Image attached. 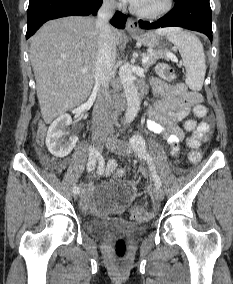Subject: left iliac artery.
<instances>
[{
	"instance_id": "obj_1",
	"label": "left iliac artery",
	"mask_w": 233,
	"mask_h": 284,
	"mask_svg": "<svg viewBox=\"0 0 233 284\" xmlns=\"http://www.w3.org/2000/svg\"><path fill=\"white\" fill-rule=\"evenodd\" d=\"M130 143H131V146L134 149V151H136L139 154V156H141L145 160H147L148 164L150 165V169L152 171V177H153V181H154L155 186L161 187L162 182L160 180V177L158 176V174L155 171V166L152 162L151 157L146 152V144H145L144 138L142 136H139V135H134L130 139Z\"/></svg>"
}]
</instances>
